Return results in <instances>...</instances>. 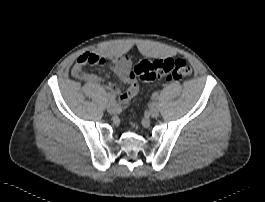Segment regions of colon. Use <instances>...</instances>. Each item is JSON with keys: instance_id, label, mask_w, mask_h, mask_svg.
<instances>
[{"instance_id": "obj_1", "label": "colon", "mask_w": 265, "mask_h": 202, "mask_svg": "<svg viewBox=\"0 0 265 202\" xmlns=\"http://www.w3.org/2000/svg\"><path fill=\"white\" fill-rule=\"evenodd\" d=\"M192 74V68L183 59H140L135 62L132 75L144 84H153L157 79L180 81Z\"/></svg>"}]
</instances>
